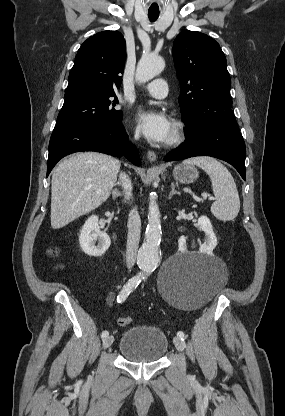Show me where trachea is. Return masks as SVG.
Returning <instances> with one entry per match:
<instances>
[{
    "mask_svg": "<svg viewBox=\"0 0 285 416\" xmlns=\"http://www.w3.org/2000/svg\"><path fill=\"white\" fill-rule=\"evenodd\" d=\"M159 17V13H148V18L151 22H155Z\"/></svg>",
    "mask_w": 285,
    "mask_h": 416,
    "instance_id": "1",
    "label": "trachea"
}]
</instances>
